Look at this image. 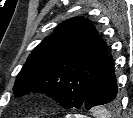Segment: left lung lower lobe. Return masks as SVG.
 Returning <instances> with one entry per match:
<instances>
[{
    "label": "left lung lower lobe",
    "mask_w": 133,
    "mask_h": 118,
    "mask_svg": "<svg viewBox=\"0 0 133 118\" xmlns=\"http://www.w3.org/2000/svg\"><path fill=\"white\" fill-rule=\"evenodd\" d=\"M116 82L114 61L109 56L107 63L87 94L84 107L89 110L95 106H101L103 109L109 110L107 105L118 102L120 99Z\"/></svg>",
    "instance_id": "1"
}]
</instances>
